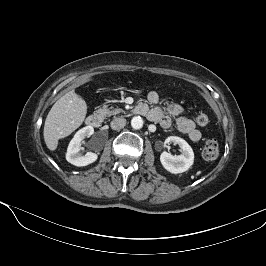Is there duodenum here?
Returning a JSON list of instances; mask_svg holds the SVG:
<instances>
[{"label": "duodenum", "instance_id": "obj_1", "mask_svg": "<svg viewBox=\"0 0 266 266\" xmlns=\"http://www.w3.org/2000/svg\"><path fill=\"white\" fill-rule=\"evenodd\" d=\"M134 112L136 114H142L144 110L140 106H137ZM86 124L90 127L98 128L101 124V117L98 114H91L86 118Z\"/></svg>", "mask_w": 266, "mask_h": 266}]
</instances>
